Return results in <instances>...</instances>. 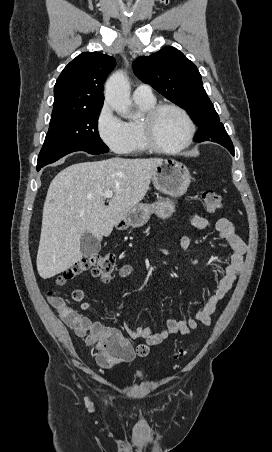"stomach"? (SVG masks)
<instances>
[{"label":"stomach","instance_id":"0dacf381","mask_svg":"<svg viewBox=\"0 0 272 452\" xmlns=\"http://www.w3.org/2000/svg\"><path fill=\"white\" fill-rule=\"evenodd\" d=\"M153 185L159 192L177 198L186 193L191 175L188 168L174 159H162L155 167L152 178ZM175 203L170 198H159L153 204L138 203L132 207L121 219V228L141 227L148 222L154 213L162 219L172 216Z\"/></svg>","mask_w":272,"mask_h":452}]
</instances>
